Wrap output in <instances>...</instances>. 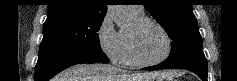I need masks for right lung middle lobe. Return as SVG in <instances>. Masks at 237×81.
Segmentation results:
<instances>
[{
    "mask_svg": "<svg viewBox=\"0 0 237 81\" xmlns=\"http://www.w3.org/2000/svg\"><path fill=\"white\" fill-rule=\"evenodd\" d=\"M104 18L90 16H58L46 19L41 47L100 51L97 31Z\"/></svg>",
    "mask_w": 237,
    "mask_h": 81,
    "instance_id": "right-lung-middle-lobe-1",
    "label": "right lung middle lobe"
}]
</instances>
